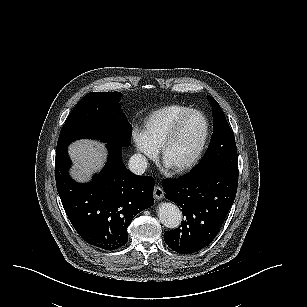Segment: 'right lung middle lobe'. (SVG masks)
<instances>
[{
    "label": "right lung middle lobe",
    "instance_id": "1",
    "mask_svg": "<svg viewBox=\"0 0 307 307\" xmlns=\"http://www.w3.org/2000/svg\"><path fill=\"white\" fill-rule=\"evenodd\" d=\"M120 96L119 92H90L85 95L66 120L56 151L81 138L129 146L132 126L118 107Z\"/></svg>",
    "mask_w": 307,
    "mask_h": 307
}]
</instances>
